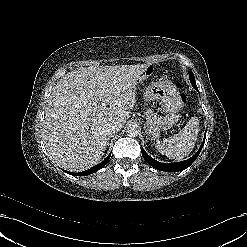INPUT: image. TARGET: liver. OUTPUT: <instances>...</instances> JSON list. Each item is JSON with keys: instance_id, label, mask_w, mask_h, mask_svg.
<instances>
[{"instance_id": "6515ba94", "label": "liver", "mask_w": 247, "mask_h": 247, "mask_svg": "<svg viewBox=\"0 0 247 247\" xmlns=\"http://www.w3.org/2000/svg\"><path fill=\"white\" fill-rule=\"evenodd\" d=\"M149 64L89 66L67 73L54 86L43 120L49 158L70 171L98 163L108 123L124 124L136 105L138 78Z\"/></svg>"}]
</instances>
